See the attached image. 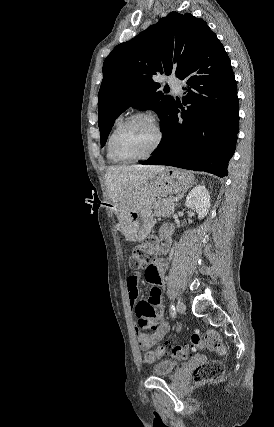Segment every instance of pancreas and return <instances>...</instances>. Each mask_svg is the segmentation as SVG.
Listing matches in <instances>:
<instances>
[{
    "mask_svg": "<svg viewBox=\"0 0 274 427\" xmlns=\"http://www.w3.org/2000/svg\"><path fill=\"white\" fill-rule=\"evenodd\" d=\"M175 204L172 198H158L154 204V214L159 217H171L174 214Z\"/></svg>",
    "mask_w": 274,
    "mask_h": 427,
    "instance_id": "1",
    "label": "pancreas"
}]
</instances>
